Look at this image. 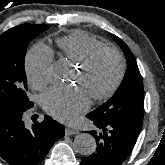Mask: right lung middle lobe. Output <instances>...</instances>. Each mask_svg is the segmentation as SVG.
<instances>
[{
  "instance_id": "1",
  "label": "right lung middle lobe",
  "mask_w": 165,
  "mask_h": 165,
  "mask_svg": "<svg viewBox=\"0 0 165 165\" xmlns=\"http://www.w3.org/2000/svg\"><path fill=\"white\" fill-rule=\"evenodd\" d=\"M48 28L22 24L0 36V109L27 110L33 106L27 96L24 59L30 41Z\"/></svg>"
}]
</instances>
